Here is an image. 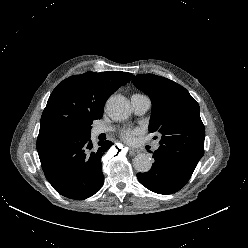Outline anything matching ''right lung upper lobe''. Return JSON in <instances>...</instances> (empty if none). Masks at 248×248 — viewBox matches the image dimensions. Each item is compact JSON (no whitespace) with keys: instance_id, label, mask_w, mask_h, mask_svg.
<instances>
[{"instance_id":"right-lung-upper-lobe-1","label":"right lung upper lobe","mask_w":248,"mask_h":248,"mask_svg":"<svg viewBox=\"0 0 248 248\" xmlns=\"http://www.w3.org/2000/svg\"><path fill=\"white\" fill-rule=\"evenodd\" d=\"M131 78V73L121 71H88L63 80L42 113L38 153L69 133L91 129L93 120L103 116L108 97Z\"/></svg>"}]
</instances>
